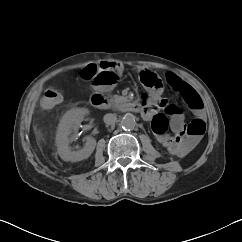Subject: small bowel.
Segmentation results:
<instances>
[{
	"mask_svg": "<svg viewBox=\"0 0 242 242\" xmlns=\"http://www.w3.org/2000/svg\"><path fill=\"white\" fill-rule=\"evenodd\" d=\"M102 67L110 70L116 71L119 76L123 71V67L115 62L105 61L101 64ZM145 73H153L149 70L140 71V78ZM174 79L179 82V84H186L179 76L174 73H170L168 75L167 80ZM97 90L101 91H109L112 89V85H108L105 87L96 86ZM174 90V89H173ZM146 104L148 106L144 107L143 110V118L146 120H151L156 115L155 108L157 106H161L164 110V114H162L167 120L168 127H170L173 132L172 136L161 137L160 140L167 147L171 148L173 152L178 155L185 156L198 144L202 135H198L193 133L196 129L194 126L195 122H200L201 125L206 128V118L203 110V104L201 100V107L197 109H193L195 114V118L188 125L184 122V115L182 110L173 103H167L162 101L158 95V93H154L152 95L146 96ZM159 136V135H158Z\"/></svg>",
	"mask_w": 242,
	"mask_h": 242,
	"instance_id": "small-bowel-1",
	"label": "small bowel"
}]
</instances>
